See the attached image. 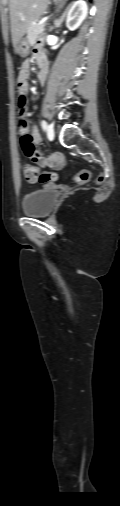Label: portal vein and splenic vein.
Returning a JSON list of instances; mask_svg holds the SVG:
<instances>
[{"instance_id":"1","label":"portal vein and splenic vein","mask_w":120,"mask_h":506,"mask_svg":"<svg viewBox=\"0 0 120 506\" xmlns=\"http://www.w3.org/2000/svg\"><path fill=\"white\" fill-rule=\"evenodd\" d=\"M46 20H47V18L43 19L42 21H40V22L38 23V25H42V24H44V22H45Z\"/></svg>"}]
</instances>
